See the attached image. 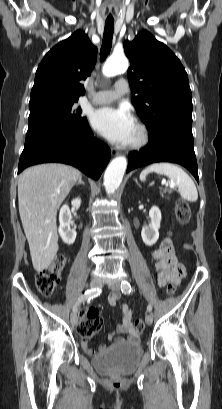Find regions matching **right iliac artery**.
Here are the masks:
<instances>
[{"mask_svg": "<svg viewBox=\"0 0 222 409\" xmlns=\"http://www.w3.org/2000/svg\"><path fill=\"white\" fill-rule=\"evenodd\" d=\"M102 292V289L100 288H94V289H90L85 291L77 300V302L75 303V305L73 306V313L76 314L78 311V307L80 305L81 302L85 301V300H91L97 296H99Z\"/></svg>", "mask_w": 222, "mask_h": 409, "instance_id": "obj_1", "label": "right iliac artery"}]
</instances>
